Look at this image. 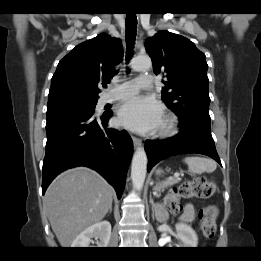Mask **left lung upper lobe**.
Segmentation results:
<instances>
[{
	"label": "left lung upper lobe",
	"instance_id": "left-lung-upper-lobe-1",
	"mask_svg": "<svg viewBox=\"0 0 261 261\" xmlns=\"http://www.w3.org/2000/svg\"><path fill=\"white\" fill-rule=\"evenodd\" d=\"M145 48L156 75L163 74L162 100L180 119L210 121L208 65L205 55L189 39L159 31L146 39Z\"/></svg>",
	"mask_w": 261,
	"mask_h": 261
}]
</instances>
